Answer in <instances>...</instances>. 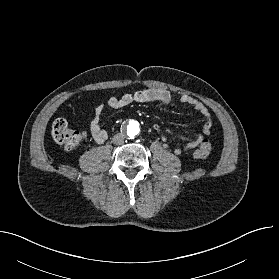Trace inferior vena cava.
Here are the masks:
<instances>
[{
  "instance_id": "602c4592",
  "label": "inferior vena cava",
  "mask_w": 279,
  "mask_h": 279,
  "mask_svg": "<svg viewBox=\"0 0 279 279\" xmlns=\"http://www.w3.org/2000/svg\"><path fill=\"white\" fill-rule=\"evenodd\" d=\"M124 135L122 133H117L112 137V142L116 145L122 144L124 142Z\"/></svg>"
}]
</instances>
